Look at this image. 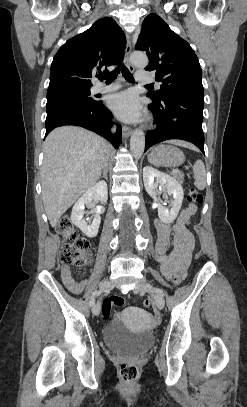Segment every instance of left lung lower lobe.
Returning a JSON list of instances; mask_svg holds the SVG:
<instances>
[{
  "label": "left lung lower lobe",
  "instance_id": "obj_1",
  "mask_svg": "<svg viewBox=\"0 0 247 407\" xmlns=\"http://www.w3.org/2000/svg\"><path fill=\"white\" fill-rule=\"evenodd\" d=\"M203 108V97L182 93L168 95L160 103L153 102L149 109L157 127L147 132L145 151L159 142L181 139L195 144L204 153Z\"/></svg>",
  "mask_w": 247,
  "mask_h": 407
}]
</instances>
